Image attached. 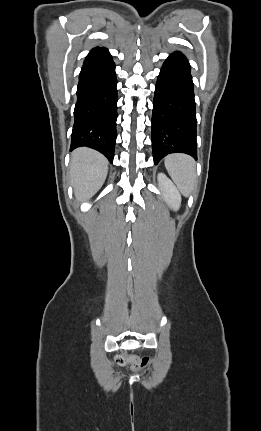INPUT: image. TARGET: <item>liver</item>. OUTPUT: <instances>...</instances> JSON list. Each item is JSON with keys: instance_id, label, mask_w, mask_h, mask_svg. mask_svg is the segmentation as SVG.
<instances>
[{"instance_id": "6515ba94", "label": "liver", "mask_w": 261, "mask_h": 431, "mask_svg": "<svg viewBox=\"0 0 261 431\" xmlns=\"http://www.w3.org/2000/svg\"><path fill=\"white\" fill-rule=\"evenodd\" d=\"M108 172V161L99 152L81 147L71 154L70 177L78 201L93 196L103 185Z\"/></svg>"}]
</instances>
